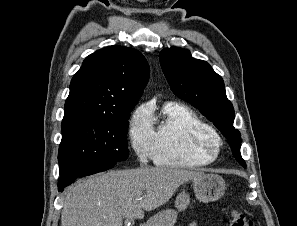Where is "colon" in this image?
Returning a JSON list of instances; mask_svg holds the SVG:
<instances>
[{"instance_id":"obj_1","label":"colon","mask_w":297,"mask_h":226,"mask_svg":"<svg viewBox=\"0 0 297 226\" xmlns=\"http://www.w3.org/2000/svg\"><path fill=\"white\" fill-rule=\"evenodd\" d=\"M230 226H254L253 221L242 211L234 210Z\"/></svg>"}]
</instances>
